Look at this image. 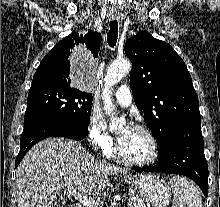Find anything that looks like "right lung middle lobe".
I'll return each mask as SVG.
<instances>
[{
    "label": "right lung middle lobe",
    "mask_w": 220,
    "mask_h": 207,
    "mask_svg": "<svg viewBox=\"0 0 220 207\" xmlns=\"http://www.w3.org/2000/svg\"><path fill=\"white\" fill-rule=\"evenodd\" d=\"M92 100V94L72 86H33L29 90L24 121L46 117L88 125Z\"/></svg>",
    "instance_id": "dd1d6c3e"
}]
</instances>
